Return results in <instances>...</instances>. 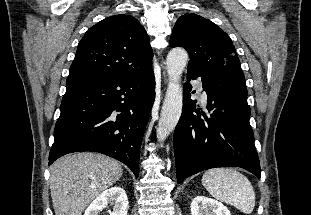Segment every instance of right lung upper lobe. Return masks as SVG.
<instances>
[{"mask_svg":"<svg viewBox=\"0 0 311 215\" xmlns=\"http://www.w3.org/2000/svg\"><path fill=\"white\" fill-rule=\"evenodd\" d=\"M150 39L130 15H114L92 26L78 44L68 79L131 77L152 70Z\"/></svg>","mask_w":311,"mask_h":215,"instance_id":"obj_1","label":"right lung upper lobe"}]
</instances>
